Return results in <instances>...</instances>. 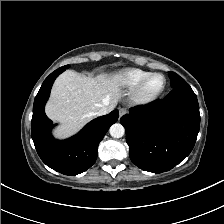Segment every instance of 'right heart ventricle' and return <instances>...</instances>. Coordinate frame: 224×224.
I'll list each match as a JSON object with an SVG mask.
<instances>
[{"label": "right heart ventricle", "instance_id": "right-heart-ventricle-1", "mask_svg": "<svg viewBox=\"0 0 224 224\" xmlns=\"http://www.w3.org/2000/svg\"><path fill=\"white\" fill-rule=\"evenodd\" d=\"M150 72L140 68H127L120 71L115 80L126 88H134Z\"/></svg>", "mask_w": 224, "mask_h": 224}]
</instances>
